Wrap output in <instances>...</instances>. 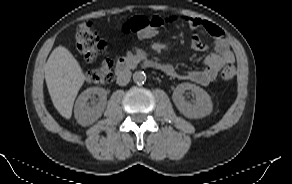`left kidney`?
Listing matches in <instances>:
<instances>
[{
	"label": "left kidney",
	"instance_id": "1",
	"mask_svg": "<svg viewBox=\"0 0 292 184\" xmlns=\"http://www.w3.org/2000/svg\"><path fill=\"white\" fill-rule=\"evenodd\" d=\"M190 90L195 95V100L190 103L185 100L183 94ZM172 99L177 109L188 118H202L212 112L213 104L209 94L199 86L191 83L179 84L172 95Z\"/></svg>",
	"mask_w": 292,
	"mask_h": 184
}]
</instances>
